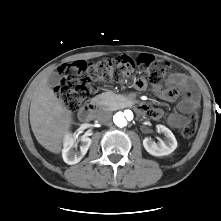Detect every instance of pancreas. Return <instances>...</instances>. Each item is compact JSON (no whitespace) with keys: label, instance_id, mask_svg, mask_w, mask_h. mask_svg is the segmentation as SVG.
Wrapping results in <instances>:
<instances>
[{"label":"pancreas","instance_id":"pancreas-1","mask_svg":"<svg viewBox=\"0 0 221 221\" xmlns=\"http://www.w3.org/2000/svg\"><path fill=\"white\" fill-rule=\"evenodd\" d=\"M100 104L108 109L116 110L123 106L124 98L112 91H107L98 96Z\"/></svg>","mask_w":221,"mask_h":221}]
</instances>
